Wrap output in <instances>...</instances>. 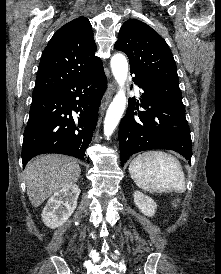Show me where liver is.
<instances>
[{"label": "liver", "instance_id": "6515ba94", "mask_svg": "<svg viewBox=\"0 0 221 274\" xmlns=\"http://www.w3.org/2000/svg\"><path fill=\"white\" fill-rule=\"evenodd\" d=\"M24 172L27 195L32 206L38 207L53 193L77 182L81 169L73 158L48 154L31 160Z\"/></svg>", "mask_w": 221, "mask_h": 274}]
</instances>
